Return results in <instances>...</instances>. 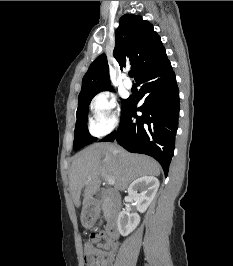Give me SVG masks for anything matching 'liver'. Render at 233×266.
Returning a JSON list of instances; mask_svg holds the SVG:
<instances>
[{
	"label": "liver",
	"mask_w": 233,
	"mask_h": 266,
	"mask_svg": "<svg viewBox=\"0 0 233 266\" xmlns=\"http://www.w3.org/2000/svg\"><path fill=\"white\" fill-rule=\"evenodd\" d=\"M160 165L145 155L132 154L112 143H95L78 153L70 168V193L75 206L83 204L96 193L101 185L100 177L115 180V189L123 191L135 179L142 176H159ZM95 218L83 225L92 226Z\"/></svg>",
	"instance_id": "6515ba94"
}]
</instances>
